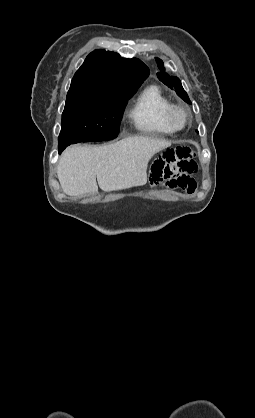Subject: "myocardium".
<instances>
[{
  "label": "myocardium",
  "mask_w": 255,
  "mask_h": 418,
  "mask_svg": "<svg viewBox=\"0 0 255 418\" xmlns=\"http://www.w3.org/2000/svg\"><path fill=\"white\" fill-rule=\"evenodd\" d=\"M176 112H181L184 116V123L181 126H177L174 122V116ZM190 119L189 112L187 108L184 105L181 104H172L169 106L167 112H166V121L168 125L174 130V131H180L186 127Z\"/></svg>",
  "instance_id": "myocardium-1"
}]
</instances>
